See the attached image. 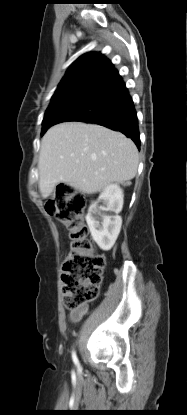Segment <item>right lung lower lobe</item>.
Segmentation results:
<instances>
[{
	"instance_id": "98d812e1",
	"label": "right lung lower lobe",
	"mask_w": 187,
	"mask_h": 415,
	"mask_svg": "<svg viewBox=\"0 0 187 415\" xmlns=\"http://www.w3.org/2000/svg\"><path fill=\"white\" fill-rule=\"evenodd\" d=\"M95 123L120 131L140 148L136 110L125 82L110 62L79 80L50 116L61 122Z\"/></svg>"
}]
</instances>
